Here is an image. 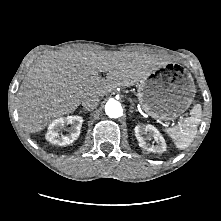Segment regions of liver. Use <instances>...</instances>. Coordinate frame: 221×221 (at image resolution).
Listing matches in <instances>:
<instances>
[{"mask_svg":"<svg viewBox=\"0 0 221 221\" xmlns=\"http://www.w3.org/2000/svg\"><path fill=\"white\" fill-rule=\"evenodd\" d=\"M159 64L154 55L141 52L83 49L44 55L30 68L19 90L22 126L39 132L53 119L75 111L84 98L132 86Z\"/></svg>","mask_w":221,"mask_h":221,"instance_id":"6515ba94","label":"liver"}]
</instances>
